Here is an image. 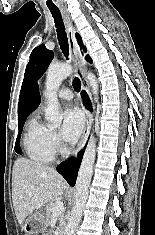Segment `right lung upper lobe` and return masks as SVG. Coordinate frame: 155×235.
Masks as SVG:
<instances>
[{
	"mask_svg": "<svg viewBox=\"0 0 155 235\" xmlns=\"http://www.w3.org/2000/svg\"><path fill=\"white\" fill-rule=\"evenodd\" d=\"M41 98L38 90V85L35 84L26 92L20 95V102L18 107V119L27 118V116L34 111L40 104Z\"/></svg>",
	"mask_w": 155,
	"mask_h": 235,
	"instance_id": "cb5924a9",
	"label": "right lung upper lobe"
}]
</instances>
